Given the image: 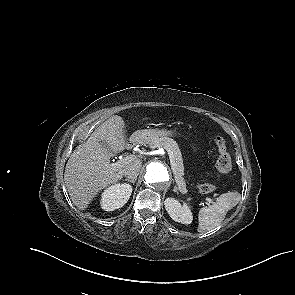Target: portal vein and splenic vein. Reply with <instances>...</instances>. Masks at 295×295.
<instances>
[{
  "label": "portal vein and splenic vein",
  "instance_id": "obj_1",
  "mask_svg": "<svg viewBox=\"0 0 295 295\" xmlns=\"http://www.w3.org/2000/svg\"><path fill=\"white\" fill-rule=\"evenodd\" d=\"M169 158H170V163H171V167L175 166V161H174V156L173 153L170 150H167ZM137 157L135 155H129L126 156L122 159H120L118 162H116L117 165L122 166V165H126L129 164L130 162H132L133 160H135ZM211 203H213V200L209 197L205 198V204L210 205Z\"/></svg>",
  "mask_w": 295,
  "mask_h": 295
}]
</instances>
